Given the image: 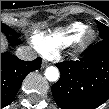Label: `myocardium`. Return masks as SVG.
<instances>
[{"instance_id": "obj_1", "label": "myocardium", "mask_w": 109, "mask_h": 109, "mask_svg": "<svg viewBox=\"0 0 109 109\" xmlns=\"http://www.w3.org/2000/svg\"><path fill=\"white\" fill-rule=\"evenodd\" d=\"M95 38V33L92 29H87L80 37L77 39L76 48L77 51H81L88 47Z\"/></svg>"}]
</instances>
